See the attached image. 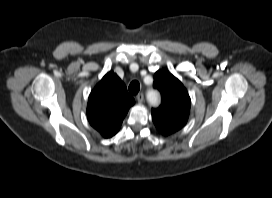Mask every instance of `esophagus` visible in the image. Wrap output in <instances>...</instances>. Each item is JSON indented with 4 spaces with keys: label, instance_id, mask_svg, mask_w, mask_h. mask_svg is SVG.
Instances as JSON below:
<instances>
[{
    "label": "esophagus",
    "instance_id": "34e87169",
    "mask_svg": "<svg viewBox=\"0 0 272 198\" xmlns=\"http://www.w3.org/2000/svg\"><path fill=\"white\" fill-rule=\"evenodd\" d=\"M138 103H142L144 101V95L142 93L138 94L136 97Z\"/></svg>",
    "mask_w": 272,
    "mask_h": 198
}]
</instances>
